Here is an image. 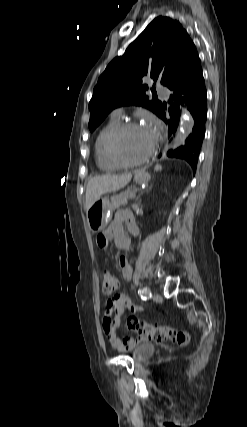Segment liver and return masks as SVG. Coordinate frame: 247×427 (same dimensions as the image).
<instances>
[{
  "label": "liver",
  "instance_id": "obj_1",
  "mask_svg": "<svg viewBox=\"0 0 247 427\" xmlns=\"http://www.w3.org/2000/svg\"><path fill=\"white\" fill-rule=\"evenodd\" d=\"M131 178V173L123 175H103L91 178L86 187V210H88L102 194L123 188L130 182Z\"/></svg>",
  "mask_w": 247,
  "mask_h": 427
}]
</instances>
